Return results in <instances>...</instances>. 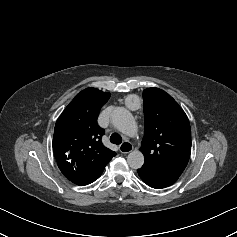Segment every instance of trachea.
<instances>
[{"mask_svg": "<svg viewBox=\"0 0 237 237\" xmlns=\"http://www.w3.org/2000/svg\"><path fill=\"white\" fill-rule=\"evenodd\" d=\"M110 141L113 144H121L122 143V138L118 133H113L110 137Z\"/></svg>", "mask_w": 237, "mask_h": 237, "instance_id": "1", "label": "trachea"}]
</instances>
